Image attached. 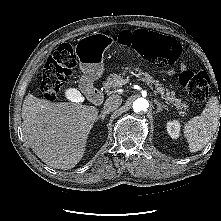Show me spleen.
I'll use <instances>...</instances> for the list:
<instances>
[{"mask_svg": "<svg viewBox=\"0 0 221 221\" xmlns=\"http://www.w3.org/2000/svg\"><path fill=\"white\" fill-rule=\"evenodd\" d=\"M218 98L212 96L200 116L188 121L184 126V134L188 142L190 152H197L203 149L211 140L219 127Z\"/></svg>", "mask_w": 221, "mask_h": 221, "instance_id": "1", "label": "spleen"}]
</instances>
